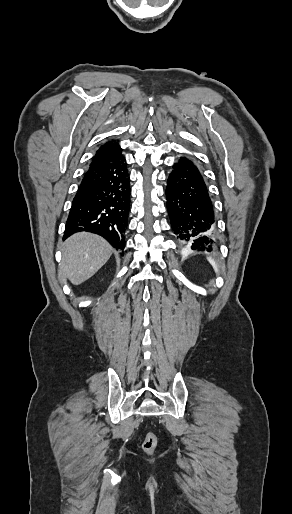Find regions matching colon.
<instances>
[{
  "label": "colon",
  "mask_w": 292,
  "mask_h": 514,
  "mask_svg": "<svg viewBox=\"0 0 292 514\" xmlns=\"http://www.w3.org/2000/svg\"><path fill=\"white\" fill-rule=\"evenodd\" d=\"M157 445V437L156 434L153 431H148L145 435V438L142 443V450L148 454L151 455L156 448Z\"/></svg>",
  "instance_id": "colon-1"
}]
</instances>
